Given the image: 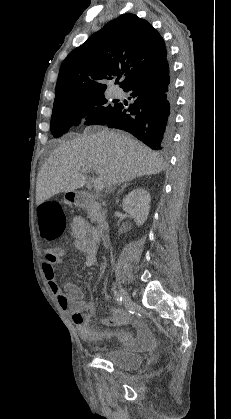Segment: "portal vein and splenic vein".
I'll return each mask as SVG.
<instances>
[{"label":"portal vein and splenic vein","mask_w":231,"mask_h":419,"mask_svg":"<svg viewBox=\"0 0 231 419\" xmlns=\"http://www.w3.org/2000/svg\"><path fill=\"white\" fill-rule=\"evenodd\" d=\"M91 170H88L87 172H90ZM93 186H94V189L96 190V191H101V190H103V188H104V183H103V181H102V179L99 177V178H96L95 180H94V182H93Z\"/></svg>","instance_id":"obj_1"}]
</instances>
